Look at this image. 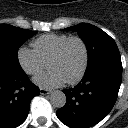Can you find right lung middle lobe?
Wrapping results in <instances>:
<instances>
[{
    "label": "right lung middle lobe",
    "instance_id": "obj_1",
    "mask_svg": "<svg viewBox=\"0 0 128 128\" xmlns=\"http://www.w3.org/2000/svg\"><path fill=\"white\" fill-rule=\"evenodd\" d=\"M36 32L8 24H0V70L8 72L22 70L17 56L18 49Z\"/></svg>",
    "mask_w": 128,
    "mask_h": 128
}]
</instances>
